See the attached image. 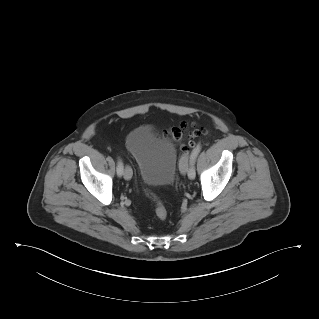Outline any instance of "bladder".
I'll return each mask as SVG.
<instances>
[{"label": "bladder", "mask_w": 319, "mask_h": 319, "mask_svg": "<svg viewBox=\"0 0 319 319\" xmlns=\"http://www.w3.org/2000/svg\"><path fill=\"white\" fill-rule=\"evenodd\" d=\"M126 146L138 165L141 181L153 186L169 185L177 166V147L170 138H159L149 125L128 132Z\"/></svg>", "instance_id": "1"}]
</instances>
